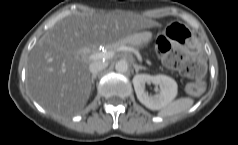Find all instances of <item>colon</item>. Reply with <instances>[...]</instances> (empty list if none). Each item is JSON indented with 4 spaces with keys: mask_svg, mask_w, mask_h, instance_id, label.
<instances>
[{
    "mask_svg": "<svg viewBox=\"0 0 238 145\" xmlns=\"http://www.w3.org/2000/svg\"><path fill=\"white\" fill-rule=\"evenodd\" d=\"M164 64L170 69L193 79L187 90L190 94H200L204 89L202 79L206 72V60L201 55L186 56L172 49L170 42L163 36L156 41Z\"/></svg>",
    "mask_w": 238,
    "mask_h": 145,
    "instance_id": "colon-1",
    "label": "colon"
}]
</instances>
